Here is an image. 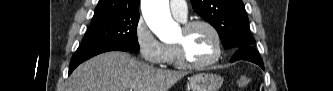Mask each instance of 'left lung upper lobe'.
<instances>
[{"label":"left lung upper lobe","instance_id":"left-lung-upper-lobe-1","mask_svg":"<svg viewBox=\"0 0 333 91\" xmlns=\"http://www.w3.org/2000/svg\"><path fill=\"white\" fill-rule=\"evenodd\" d=\"M194 11L219 33L226 49L253 46L249 21L241 0H191Z\"/></svg>","mask_w":333,"mask_h":91}]
</instances>
